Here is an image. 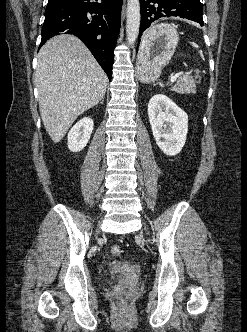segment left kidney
Segmentation results:
<instances>
[{"instance_id": "5707ae66", "label": "left kidney", "mask_w": 247, "mask_h": 332, "mask_svg": "<svg viewBox=\"0 0 247 332\" xmlns=\"http://www.w3.org/2000/svg\"><path fill=\"white\" fill-rule=\"evenodd\" d=\"M148 117L158 147L169 156L177 155L186 142L188 115L166 95H154Z\"/></svg>"}]
</instances>
